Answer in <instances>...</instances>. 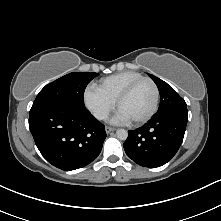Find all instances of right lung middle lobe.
Wrapping results in <instances>:
<instances>
[{"instance_id":"dd1d6c3e","label":"right lung middle lobe","mask_w":221,"mask_h":221,"mask_svg":"<svg viewBox=\"0 0 221 221\" xmlns=\"http://www.w3.org/2000/svg\"><path fill=\"white\" fill-rule=\"evenodd\" d=\"M99 74L73 72L46 85L37 95L30 112L50 105L85 108L83 95L87 84Z\"/></svg>"}]
</instances>
